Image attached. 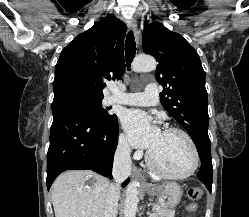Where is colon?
I'll return each mask as SVG.
<instances>
[{
	"instance_id": "obj_1",
	"label": "colon",
	"mask_w": 249,
	"mask_h": 217,
	"mask_svg": "<svg viewBox=\"0 0 249 217\" xmlns=\"http://www.w3.org/2000/svg\"><path fill=\"white\" fill-rule=\"evenodd\" d=\"M187 195L191 203L186 207V211L193 213L197 210L196 202L202 197L203 191L200 188H190Z\"/></svg>"
}]
</instances>
